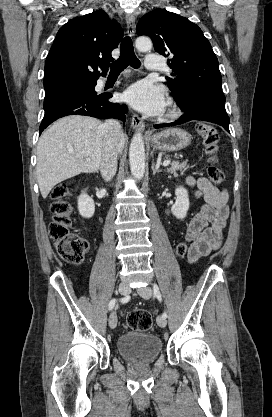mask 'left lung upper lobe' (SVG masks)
I'll return each mask as SVG.
<instances>
[{"mask_svg":"<svg viewBox=\"0 0 272 417\" xmlns=\"http://www.w3.org/2000/svg\"><path fill=\"white\" fill-rule=\"evenodd\" d=\"M138 35H148L155 50L168 60L174 78L166 77L178 106L194 102L226 112L222 77L211 44L201 29L187 18L166 10L150 11L137 25Z\"/></svg>","mask_w":272,"mask_h":417,"instance_id":"left-lung-upper-lobe-1","label":"left lung upper lobe"}]
</instances>
